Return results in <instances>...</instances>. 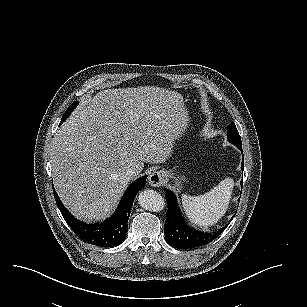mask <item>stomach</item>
<instances>
[{"label": "stomach", "instance_id": "0dacf381", "mask_svg": "<svg viewBox=\"0 0 307 307\" xmlns=\"http://www.w3.org/2000/svg\"><path fill=\"white\" fill-rule=\"evenodd\" d=\"M159 174H162L164 177V182L166 180L172 181V189L176 193H181L184 191L186 184L189 182V177L181 170L178 169V166L173 167L172 169H162L157 171Z\"/></svg>", "mask_w": 307, "mask_h": 307}]
</instances>
